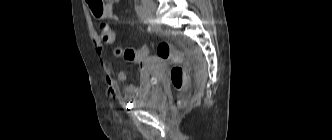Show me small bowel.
Returning <instances> with one entry per match:
<instances>
[{"label":"small bowel","mask_w":332,"mask_h":140,"mask_svg":"<svg viewBox=\"0 0 332 140\" xmlns=\"http://www.w3.org/2000/svg\"><path fill=\"white\" fill-rule=\"evenodd\" d=\"M120 0H108V3L106 5L105 11L101 18L103 19H112L114 17V11L113 7L116 3H118ZM100 41L106 44H111L115 41L116 35L112 36H102L100 35L99 37ZM97 51L101 53V47L99 44H97ZM146 58V57H145ZM145 58L137 63L141 65V79H140V84L138 86L133 85V84H125L123 87L125 97L126 98H131V97H143L145 96L150 88H151V79L148 74L147 68L144 65ZM101 66L104 71V76H105V81L108 86V89L111 93L116 94L118 92V82H125L127 80V72L124 70H121L117 74V79H115L110 70L108 69L106 62L101 59Z\"/></svg>","instance_id":"c3829d8e"}]
</instances>
